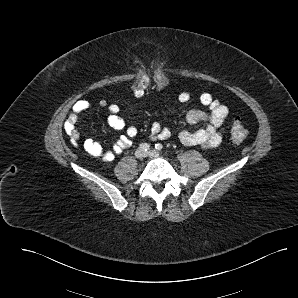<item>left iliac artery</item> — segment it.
Listing matches in <instances>:
<instances>
[{"mask_svg":"<svg viewBox=\"0 0 298 298\" xmlns=\"http://www.w3.org/2000/svg\"><path fill=\"white\" fill-rule=\"evenodd\" d=\"M155 148H156L157 150H162L163 146H162L161 143H157V144H155Z\"/></svg>","mask_w":298,"mask_h":298,"instance_id":"1","label":"left iliac artery"}]
</instances>
